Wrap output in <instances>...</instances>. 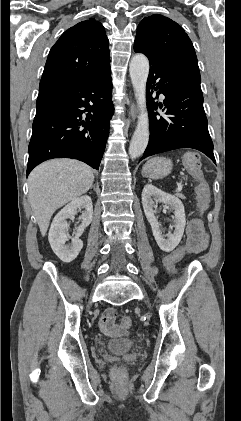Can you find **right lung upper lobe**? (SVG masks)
<instances>
[{"label":"right lung upper lobe","instance_id":"1","mask_svg":"<svg viewBox=\"0 0 241 421\" xmlns=\"http://www.w3.org/2000/svg\"><path fill=\"white\" fill-rule=\"evenodd\" d=\"M108 67L109 41L104 27L90 18L69 28L53 45L40 81L39 92L90 79Z\"/></svg>","mask_w":241,"mask_h":421}]
</instances>
